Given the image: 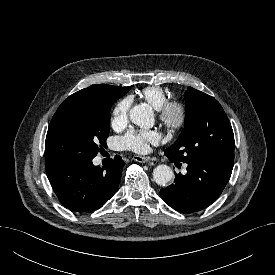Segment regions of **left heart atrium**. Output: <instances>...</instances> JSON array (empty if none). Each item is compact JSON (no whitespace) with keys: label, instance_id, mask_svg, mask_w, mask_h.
<instances>
[{"label":"left heart atrium","instance_id":"39dd6f15","mask_svg":"<svg viewBox=\"0 0 275 275\" xmlns=\"http://www.w3.org/2000/svg\"><path fill=\"white\" fill-rule=\"evenodd\" d=\"M159 140V133L155 130H137L126 133L121 138V143L129 150L137 153H143L147 151L150 143L156 144Z\"/></svg>","mask_w":275,"mask_h":275}]
</instances>
